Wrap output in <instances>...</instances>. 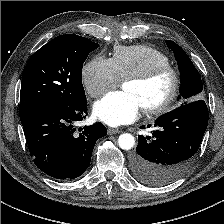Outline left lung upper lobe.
Wrapping results in <instances>:
<instances>
[{
	"instance_id": "5c2ea615",
	"label": "left lung upper lobe",
	"mask_w": 224,
	"mask_h": 224,
	"mask_svg": "<svg viewBox=\"0 0 224 224\" xmlns=\"http://www.w3.org/2000/svg\"><path fill=\"white\" fill-rule=\"evenodd\" d=\"M167 45L173 50L180 71V95L184 104L202 98L203 84L201 76L188 55L175 42L168 40Z\"/></svg>"
}]
</instances>
